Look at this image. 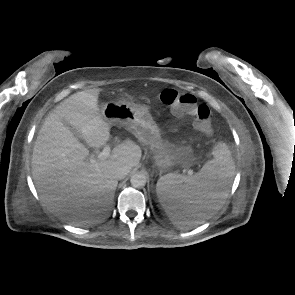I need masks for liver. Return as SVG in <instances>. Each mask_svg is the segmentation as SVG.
I'll return each mask as SVG.
<instances>
[{"instance_id":"1","label":"liver","mask_w":295,"mask_h":295,"mask_svg":"<svg viewBox=\"0 0 295 295\" xmlns=\"http://www.w3.org/2000/svg\"><path fill=\"white\" fill-rule=\"evenodd\" d=\"M99 93L100 89H89L63 100L48 114L33 148L32 175L42 202L72 223L87 221L106 210L118 184L115 170L127 166L130 171L142 155L139 145L126 140L106 160L88 161L89 150L64 122L90 147L104 145L110 137V123L100 112Z\"/></svg>"}]
</instances>
